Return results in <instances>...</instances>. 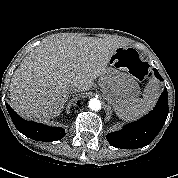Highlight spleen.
<instances>
[{
    "label": "spleen",
    "instance_id": "3e777b00",
    "mask_svg": "<svg viewBox=\"0 0 178 178\" xmlns=\"http://www.w3.org/2000/svg\"><path fill=\"white\" fill-rule=\"evenodd\" d=\"M160 94L159 85L149 83L144 90L143 98H134L132 101L116 105L114 110L119 118L124 121H132L148 112L157 102Z\"/></svg>",
    "mask_w": 178,
    "mask_h": 178
}]
</instances>
